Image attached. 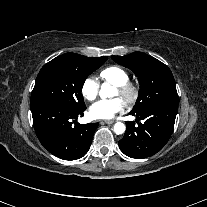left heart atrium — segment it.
Here are the masks:
<instances>
[{
	"label": "left heart atrium",
	"mask_w": 207,
	"mask_h": 207,
	"mask_svg": "<svg viewBox=\"0 0 207 207\" xmlns=\"http://www.w3.org/2000/svg\"><path fill=\"white\" fill-rule=\"evenodd\" d=\"M125 109V104L120 99L99 100L91 105L89 114L95 119L108 120Z\"/></svg>",
	"instance_id": "39dd6f15"
}]
</instances>
